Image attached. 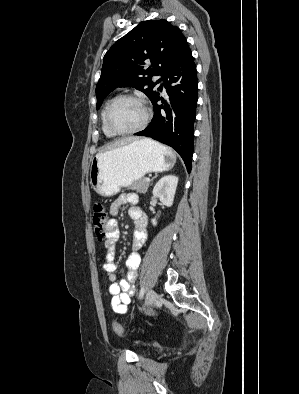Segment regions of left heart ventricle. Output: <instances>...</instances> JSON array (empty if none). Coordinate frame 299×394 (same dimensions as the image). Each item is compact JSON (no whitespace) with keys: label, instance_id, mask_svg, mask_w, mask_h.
Listing matches in <instances>:
<instances>
[{"label":"left heart ventricle","instance_id":"left-heart-ventricle-1","mask_svg":"<svg viewBox=\"0 0 299 394\" xmlns=\"http://www.w3.org/2000/svg\"><path fill=\"white\" fill-rule=\"evenodd\" d=\"M144 118L142 105L131 99L118 101L111 110L110 123L118 131H127L137 127Z\"/></svg>","mask_w":299,"mask_h":394}]
</instances>
